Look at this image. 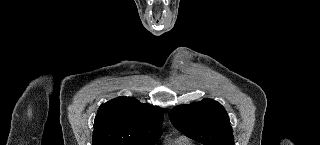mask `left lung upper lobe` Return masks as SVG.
I'll use <instances>...</instances> for the list:
<instances>
[{
  "mask_svg": "<svg viewBox=\"0 0 320 145\" xmlns=\"http://www.w3.org/2000/svg\"><path fill=\"white\" fill-rule=\"evenodd\" d=\"M169 117L187 137L204 145H234L228 115L217 101L204 99L177 106L170 111Z\"/></svg>",
  "mask_w": 320,
  "mask_h": 145,
  "instance_id": "obj_1",
  "label": "left lung upper lobe"
}]
</instances>
